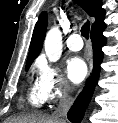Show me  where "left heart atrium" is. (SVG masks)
I'll list each match as a JSON object with an SVG mask.
<instances>
[{"label": "left heart atrium", "mask_w": 118, "mask_h": 123, "mask_svg": "<svg viewBox=\"0 0 118 123\" xmlns=\"http://www.w3.org/2000/svg\"><path fill=\"white\" fill-rule=\"evenodd\" d=\"M66 72L68 78L74 83H81L87 76L88 69L84 60L80 57H73L67 62Z\"/></svg>", "instance_id": "1"}]
</instances>
